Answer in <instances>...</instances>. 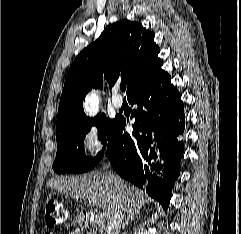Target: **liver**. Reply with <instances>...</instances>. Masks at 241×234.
I'll list each match as a JSON object with an SVG mask.
<instances>
[{
  "label": "liver",
  "mask_w": 241,
  "mask_h": 234,
  "mask_svg": "<svg viewBox=\"0 0 241 234\" xmlns=\"http://www.w3.org/2000/svg\"><path fill=\"white\" fill-rule=\"evenodd\" d=\"M46 185L60 193L70 195L76 202L79 199L98 201L105 220L109 219L118 204L123 205L126 211L131 213L140 211L149 200L143 191L120 177L104 171H92L69 179H50Z\"/></svg>",
  "instance_id": "6515ba94"
}]
</instances>
